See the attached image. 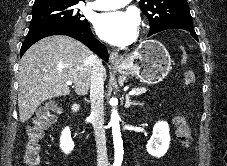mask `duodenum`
Here are the masks:
<instances>
[{"instance_id":"1","label":"duodenum","mask_w":227,"mask_h":166,"mask_svg":"<svg viewBox=\"0 0 227 166\" xmlns=\"http://www.w3.org/2000/svg\"><path fill=\"white\" fill-rule=\"evenodd\" d=\"M81 109V106L79 103L75 102L72 105V113L75 114Z\"/></svg>"}]
</instances>
